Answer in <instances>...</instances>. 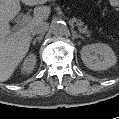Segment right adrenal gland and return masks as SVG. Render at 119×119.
<instances>
[{"label": "right adrenal gland", "instance_id": "obj_1", "mask_svg": "<svg viewBox=\"0 0 119 119\" xmlns=\"http://www.w3.org/2000/svg\"><path fill=\"white\" fill-rule=\"evenodd\" d=\"M42 38H43V35H40L39 37L34 38V40H33V42H32V43H33V45H35V44H36V41L41 42Z\"/></svg>", "mask_w": 119, "mask_h": 119}]
</instances>
